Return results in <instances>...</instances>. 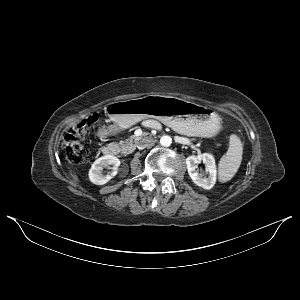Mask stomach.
Returning a JSON list of instances; mask_svg holds the SVG:
<instances>
[{"label": "stomach", "mask_w": 300, "mask_h": 300, "mask_svg": "<svg viewBox=\"0 0 300 300\" xmlns=\"http://www.w3.org/2000/svg\"><path fill=\"white\" fill-rule=\"evenodd\" d=\"M106 112L119 128L155 118L189 136L214 137L222 129L220 116L210 108L165 95H148L108 105Z\"/></svg>", "instance_id": "0dacf381"}]
</instances>
